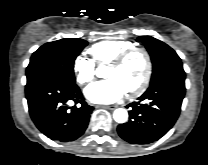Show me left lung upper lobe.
<instances>
[{
  "mask_svg": "<svg viewBox=\"0 0 208 165\" xmlns=\"http://www.w3.org/2000/svg\"><path fill=\"white\" fill-rule=\"evenodd\" d=\"M137 41L146 46L151 56L153 73L150 83L168 74L184 73L181 59L167 44L150 36H140Z\"/></svg>",
  "mask_w": 208,
  "mask_h": 165,
  "instance_id": "5c2ea615",
  "label": "left lung upper lobe"
}]
</instances>
